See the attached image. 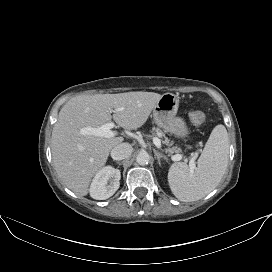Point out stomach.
I'll return each instance as SVG.
<instances>
[{"instance_id":"obj_1","label":"stomach","mask_w":272,"mask_h":272,"mask_svg":"<svg viewBox=\"0 0 272 272\" xmlns=\"http://www.w3.org/2000/svg\"><path fill=\"white\" fill-rule=\"evenodd\" d=\"M179 98L172 93L161 96L153 108V118L157 126L165 132L180 138L187 137L189 130L182 117H178Z\"/></svg>"}]
</instances>
